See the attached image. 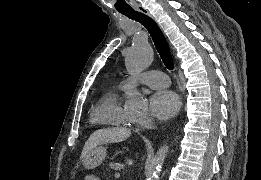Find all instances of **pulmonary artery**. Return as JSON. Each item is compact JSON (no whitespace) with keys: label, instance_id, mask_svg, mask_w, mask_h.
<instances>
[{"label":"pulmonary artery","instance_id":"e3ab8cb5","mask_svg":"<svg viewBox=\"0 0 261 180\" xmlns=\"http://www.w3.org/2000/svg\"><path fill=\"white\" fill-rule=\"evenodd\" d=\"M145 83L142 84V89H151V88H169L170 84L168 83V77L166 74L157 70H149L146 73H141L134 77L124 78L120 82L121 87H126L129 84L134 83Z\"/></svg>","mask_w":261,"mask_h":180}]
</instances>
